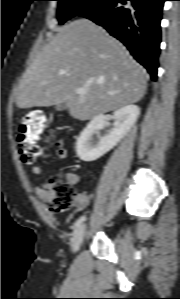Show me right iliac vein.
<instances>
[{
	"label": "right iliac vein",
	"instance_id": "right-iliac-vein-1",
	"mask_svg": "<svg viewBox=\"0 0 180 299\" xmlns=\"http://www.w3.org/2000/svg\"><path fill=\"white\" fill-rule=\"evenodd\" d=\"M85 231V225L79 226L78 229L75 231L74 236L71 240V251L73 253H76L80 249V246L84 239Z\"/></svg>",
	"mask_w": 180,
	"mask_h": 299
}]
</instances>
